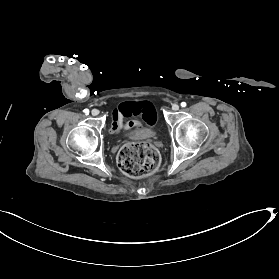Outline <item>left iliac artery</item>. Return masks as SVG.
<instances>
[{
  "instance_id": "1",
  "label": "left iliac artery",
  "mask_w": 279,
  "mask_h": 279,
  "mask_svg": "<svg viewBox=\"0 0 279 279\" xmlns=\"http://www.w3.org/2000/svg\"><path fill=\"white\" fill-rule=\"evenodd\" d=\"M181 106L184 108V107H186V103L185 102H182L181 103Z\"/></svg>"
}]
</instances>
